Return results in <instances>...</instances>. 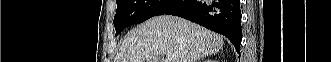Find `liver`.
Segmentation results:
<instances>
[{"mask_svg":"<svg viewBox=\"0 0 331 62\" xmlns=\"http://www.w3.org/2000/svg\"><path fill=\"white\" fill-rule=\"evenodd\" d=\"M223 38L176 16H157L133 28L125 37L114 62H159L172 54L175 62H198L216 54Z\"/></svg>","mask_w":331,"mask_h":62,"instance_id":"6515ba94","label":"liver"}]
</instances>
